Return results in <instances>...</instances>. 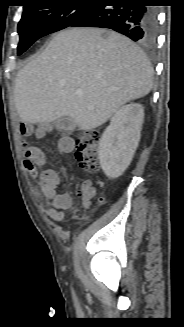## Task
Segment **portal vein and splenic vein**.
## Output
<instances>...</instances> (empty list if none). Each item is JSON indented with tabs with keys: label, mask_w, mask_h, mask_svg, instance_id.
Instances as JSON below:
<instances>
[{
	"label": "portal vein and splenic vein",
	"mask_w": 184,
	"mask_h": 327,
	"mask_svg": "<svg viewBox=\"0 0 184 327\" xmlns=\"http://www.w3.org/2000/svg\"><path fill=\"white\" fill-rule=\"evenodd\" d=\"M76 93H77V95H82L83 92H82V90H77Z\"/></svg>",
	"instance_id": "18ae733b"
}]
</instances>
